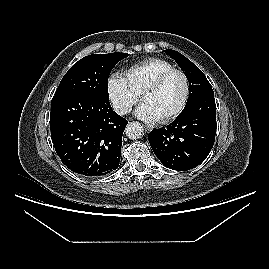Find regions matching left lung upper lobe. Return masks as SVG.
Returning <instances> with one entry per match:
<instances>
[{"label": "left lung upper lobe", "mask_w": 269, "mask_h": 269, "mask_svg": "<svg viewBox=\"0 0 269 269\" xmlns=\"http://www.w3.org/2000/svg\"><path fill=\"white\" fill-rule=\"evenodd\" d=\"M163 52L169 54L177 62L189 81V98L186 106L201 95L213 92L211 84L204 73L189 59L175 50H164Z\"/></svg>", "instance_id": "obj_1"}]
</instances>
